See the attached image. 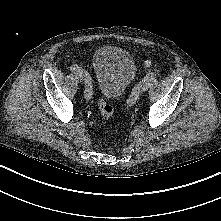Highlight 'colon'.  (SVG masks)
Masks as SVG:
<instances>
[{"label":"colon","mask_w":221,"mask_h":221,"mask_svg":"<svg viewBox=\"0 0 221 221\" xmlns=\"http://www.w3.org/2000/svg\"><path fill=\"white\" fill-rule=\"evenodd\" d=\"M99 109L103 118L107 121L113 118V108L112 106L103 98L99 99Z\"/></svg>","instance_id":"colon-1"}]
</instances>
